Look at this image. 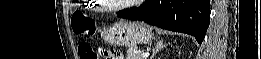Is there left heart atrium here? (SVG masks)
Returning a JSON list of instances; mask_svg holds the SVG:
<instances>
[{
	"label": "left heart atrium",
	"mask_w": 261,
	"mask_h": 59,
	"mask_svg": "<svg viewBox=\"0 0 261 59\" xmlns=\"http://www.w3.org/2000/svg\"><path fill=\"white\" fill-rule=\"evenodd\" d=\"M128 2H131V3H139V2H141V0H132V1H128Z\"/></svg>",
	"instance_id": "1"
}]
</instances>
